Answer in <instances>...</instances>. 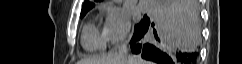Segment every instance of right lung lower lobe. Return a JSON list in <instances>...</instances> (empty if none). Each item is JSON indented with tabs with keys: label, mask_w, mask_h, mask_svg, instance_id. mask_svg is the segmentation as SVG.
Masks as SVG:
<instances>
[{
	"label": "right lung lower lobe",
	"mask_w": 242,
	"mask_h": 64,
	"mask_svg": "<svg viewBox=\"0 0 242 64\" xmlns=\"http://www.w3.org/2000/svg\"><path fill=\"white\" fill-rule=\"evenodd\" d=\"M157 19L160 25L155 41H140L150 23L135 33L131 50L157 64H196L200 42V16L197 0H157Z\"/></svg>",
	"instance_id": "obj_1"
}]
</instances>
